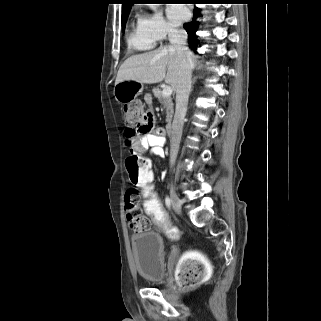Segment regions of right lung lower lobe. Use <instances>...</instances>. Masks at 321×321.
<instances>
[{
    "label": "right lung lower lobe",
    "instance_id": "right-lung-lower-lobe-1",
    "mask_svg": "<svg viewBox=\"0 0 321 321\" xmlns=\"http://www.w3.org/2000/svg\"><path fill=\"white\" fill-rule=\"evenodd\" d=\"M194 1H195L194 3H199L198 1H203V0H194ZM193 13H194V16L192 21L185 23L183 27L188 33V43L190 44L191 49L195 51L198 46L196 31L198 29L199 22L196 21V19L197 17L200 16L199 8L195 7Z\"/></svg>",
    "mask_w": 321,
    "mask_h": 321
}]
</instances>
